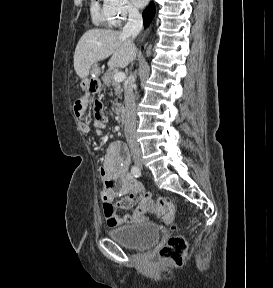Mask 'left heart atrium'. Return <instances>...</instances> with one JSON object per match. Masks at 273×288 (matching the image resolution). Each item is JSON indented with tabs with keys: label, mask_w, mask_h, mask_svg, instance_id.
<instances>
[{
	"label": "left heart atrium",
	"mask_w": 273,
	"mask_h": 288,
	"mask_svg": "<svg viewBox=\"0 0 273 288\" xmlns=\"http://www.w3.org/2000/svg\"><path fill=\"white\" fill-rule=\"evenodd\" d=\"M133 2L136 6L143 7L144 5H146L148 0H133Z\"/></svg>",
	"instance_id": "left-heart-atrium-1"
}]
</instances>
